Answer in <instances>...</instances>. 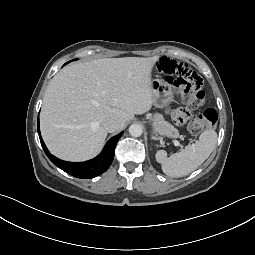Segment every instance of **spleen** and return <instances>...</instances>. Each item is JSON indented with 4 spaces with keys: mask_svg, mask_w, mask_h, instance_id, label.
Wrapping results in <instances>:
<instances>
[{
    "mask_svg": "<svg viewBox=\"0 0 255 255\" xmlns=\"http://www.w3.org/2000/svg\"><path fill=\"white\" fill-rule=\"evenodd\" d=\"M216 143L217 133L214 130H205L194 144L187 145L180 152L167 157L166 151L159 150L155 158L166 175L182 177L197 169L210 156Z\"/></svg>",
    "mask_w": 255,
    "mask_h": 255,
    "instance_id": "spleen-1",
    "label": "spleen"
}]
</instances>
